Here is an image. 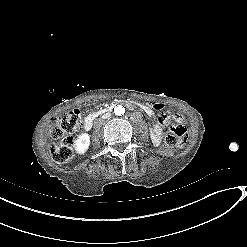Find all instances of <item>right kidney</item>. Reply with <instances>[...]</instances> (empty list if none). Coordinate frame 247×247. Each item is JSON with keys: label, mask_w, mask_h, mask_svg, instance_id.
I'll return each instance as SVG.
<instances>
[{"label": "right kidney", "mask_w": 247, "mask_h": 247, "mask_svg": "<svg viewBox=\"0 0 247 247\" xmlns=\"http://www.w3.org/2000/svg\"><path fill=\"white\" fill-rule=\"evenodd\" d=\"M90 147V135L88 133L80 134L74 142V149L78 155H84Z\"/></svg>", "instance_id": "obj_1"}]
</instances>
